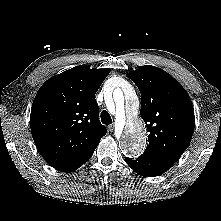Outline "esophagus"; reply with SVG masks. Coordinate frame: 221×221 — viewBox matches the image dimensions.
<instances>
[{
	"label": "esophagus",
	"mask_w": 221,
	"mask_h": 221,
	"mask_svg": "<svg viewBox=\"0 0 221 221\" xmlns=\"http://www.w3.org/2000/svg\"><path fill=\"white\" fill-rule=\"evenodd\" d=\"M108 130H109L110 132H113V131H114V125H113V124L109 125V126H108Z\"/></svg>",
	"instance_id": "obj_1"
}]
</instances>
